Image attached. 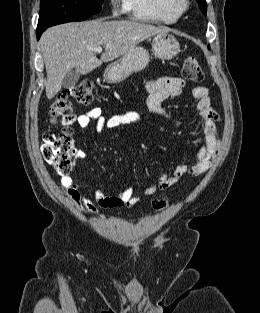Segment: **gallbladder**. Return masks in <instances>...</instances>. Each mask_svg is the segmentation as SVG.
Returning <instances> with one entry per match:
<instances>
[{
	"mask_svg": "<svg viewBox=\"0 0 260 313\" xmlns=\"http://www.w3.org/2000/svg\"><path fill=\"white\" fill-rule=\"evenodd\" d=\"M79 78L80 73H78L76 70H71L65 75L62 85L65 89L73 88L79 81Z\"/></svg>",
	"mask_w": 260,
	"mask_h": 313,
	"instance_id": "1",
	"label": "gallbladder"
}]
</instances>
